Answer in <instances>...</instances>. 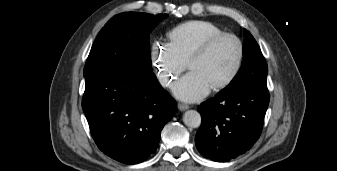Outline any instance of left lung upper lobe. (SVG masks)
<instances>
[{"label": "left lung upper lobe", "mask_w": 337, "mask_h": 171, "mask_svg": "<svg viewBox=\"0 0 337 171\" xmlns=\"http://www.w3.org/2000/svg\"><path fill=\"white\" fill-rule=\"evenodd\" d=\"M243 32L245 39L241 68L231 83L219 93H226L233 89L250 85L267 86L268 67L262 52L250 32L246 29Z\"/></svg>", "instance_id": "left-lung-upper-lobe-1"}]
</instances>
